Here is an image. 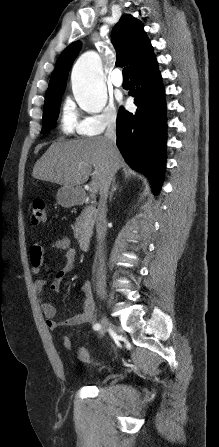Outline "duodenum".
<instances>
[{"label": "duodenum", "instance_id": "1", "mask_svg": "<svg viewBox=\"0 0 219 447\" xmlns=\"http://www.w3.org/2000/svg\"><path fill=\"white\" fill-rule=\"evenodd\" d=\"M75 199H76V203L80 204V205L86 203V201H87L86 197L83 194L76 195ZM78 243H79L80 249L82 251L87 252L91 246V238L86 237V236H81L78 239Z\"/></svg>", "mask_w": 219, "mask_h": 447}]
</instances>
